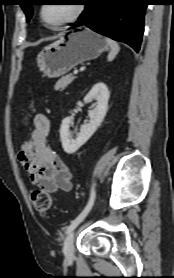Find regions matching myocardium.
Returning a JSON list of instances; mask_svg holds the SVG:
<instances>
[{
  "instance_id": "myocardium-1",
  "label": "myocardium",
  "mask_w": 174,
  "mask_h": 278,
  "mask_svg": "<svg viewBox=\"0 0 174 278\" xmlns=\"http://www.w3.org/2000/svg\"><path fill=\"white\" fill-rule=\"evenodd\" d=\"M43 8H44V5H41L40 9H39V18H40L42 24L51 30H59L65 26L75 22L83 14V12L85 10V5L83 3L76 4V9H75V12L72 14V16H70L68 19H66L65 21H63L60 24L55 25V26H51L45 21L44 16H43Z\"/></svg>"
}]
</instances>
